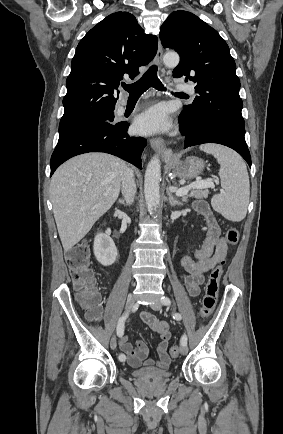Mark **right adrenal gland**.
<instances>
[{
	"mask_svg": "<svg viewBox=\"0 0 283 434\" xmlns=\"http://www.w3.org/2000/svg\"><path fill=\"white\" fill-rule=\"evenodd\" d=\"M118 203L121 204V205L126 206V202L123 199H119Z\"/></svg>",
	"mask_w": 283,
	"mask_h": 434,
	"instance_id": "obj_1",
	"label": "right adrenal gland"
}]
</instances>
